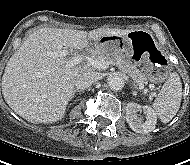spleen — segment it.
<instances>
[{
	"instance_id": "obj_1",
	"label": "spleen",
	"mask_w": 190,
	"mask_h": 165,
	"mask_svg": "<svg viewBox=\"0 0 190 165\" xmlns=\"http://www.w3.org/2000/svg\"><path fill=\"white\" fill-rule=\"evenodd\" d=\"M182 99V83L174 72L163 84L152 107L163 123H168L177 114Z\"/></svg>"
}]
</instances>
